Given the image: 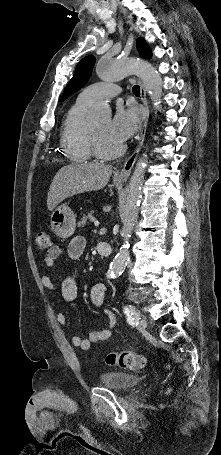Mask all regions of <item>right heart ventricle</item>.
Segmentation results:
<instances>
[{
    "label": "right heart ventricle",
    "instance_id": "obj_1",
    "mask_svg": "<svg viewBox=\"0 0 221 455\" xmlns=\"http://www.w3.org/2000/svg\"><path fill=\"white\" fill-rule=\"evenodd\" d=\"M90 105L78 96L62 124L60 147L63 154L72 162H86L93 156L89 138L90 124L85 118Z\"/></svg>",
    "mask_w": 221,
    "mask_h": 455
}]
</instances>
